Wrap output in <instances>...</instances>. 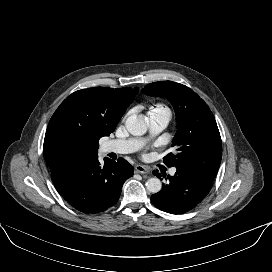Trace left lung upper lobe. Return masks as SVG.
Returning <instances> with one entry per match:
<instances>
[{
    "label": "left lung upper lobe",
    "mask_w": 272,
    "mask_h": 272,
    "mask_svg": "<svg viewBox=\"0 0 272 272\" xmlns=\"http://www.w3.org/2000/svg\"><path fill=\"white\" fill-rule=\"evenodd\" d=\"M143 93L164 96L174 107L177 133L172 146L176 151L165 156L168 167L185 168L215 179L222 157V142L213 113L192 89L172 81L146 85Z\"/></svg>",
    "instance_id": "obj_1"
}]
</instances>
